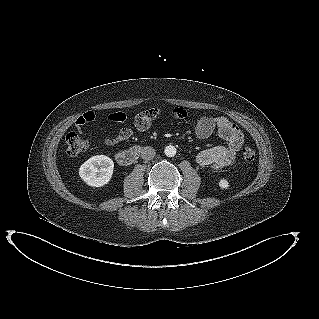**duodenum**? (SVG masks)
Here are the masks:
<instances>
[{"instance_id": "duodenum-1", "label": "duodenum", "mask_w": 319, "mask_h": 319, "mask_svg": "<svg viewBox=\"0 0 319 319\" xmlns=\"http://www.w3.org/2000/svg\"><path fill=\"white\" fill-rule=\"evenodd\" d=\"M140 150V147L135 146L128 150L120 151L116 155V159L121 165H130L139 157Z\"/></svg>"}]
</instances>
